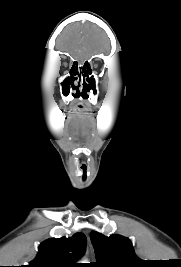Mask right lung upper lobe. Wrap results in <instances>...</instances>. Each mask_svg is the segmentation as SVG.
Masks as SVG:
<instances>
[{
  "mask_svg": "<svg viewBox=\"0 0 181 267\" xmlns=\"http://www.w3.org/2000/svg\"><path fill=\"white\" fill-rule=\"evenodd\" d=\"M86 248V236L76 233L70 238H51L42 242L29 267H78L77 259Z\"/></svg>",
  "mask_w": 181,
  "mask_h": 267,
  "instance_id": "cb5924a9",
  "label": "right lung upper lobe"
}]
</instances>
